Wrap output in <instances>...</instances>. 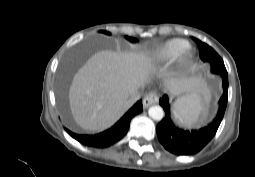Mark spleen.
<instances>
[{
    "label": "spleen",
    "mask_w": 255,
    "mask_h": 177,
    "mask_svg": "<svg viewBox=\"0 0 255 177\" xmlns=\"http://www.w3.org/2000/svg\"><path fill=\"white\" fill-rule=\"evenodd\" d=\"M174 107L179 120L183 124L190 125L198 119L201 100L197 95L183 97L175 102Z\"/></svg>",
    "instance_id": "1"
}]
</instances>
